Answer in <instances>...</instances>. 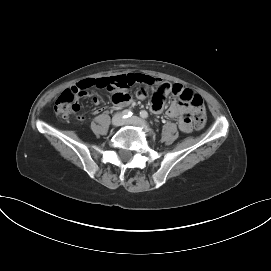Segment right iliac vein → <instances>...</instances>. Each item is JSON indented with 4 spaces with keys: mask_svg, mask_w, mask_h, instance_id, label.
<instances>
[{
    "mask_svg": "<svg viewBox=\"0 0 271 271\" xmlns=\"http://www.w3.org/2000/svg\"><path fill=\"white\" fill-rule=\"evenodd\" d=\"M123 117L122 114H115L112 118V125L113 126H120L123 124Z\"/></svg>",
    "mask_w": 271,
    "mask_h": 271,
    "instance_id": "right-iliac-vein-1",
    "label": "right iliac vein"
}]
</instances>
